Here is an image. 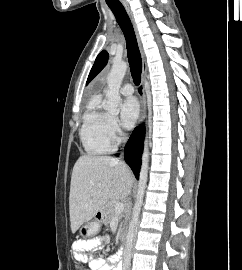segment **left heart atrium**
<instances>
[{"label": "left heart atrium", "mask_w": 242, "mask_h": 270, "mask_svg": "<svg viewBox=\"0 0 242 270\" xmlns=\"http://www.w3.org/2000/svg\"><path fill=\"white\" fill-rule=\"evenodd\" d=\"M139 103L134 97H129L121 104V120L126 128H132L139 117Z\"/></svg>", "instance_id": "obj_1"}]
</instances>
